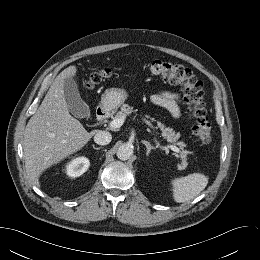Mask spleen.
<instances>
[{"label":"spleen","instance_id":"spleen-1","mask_svg":"<svg viewBox=\"0 0 260 260\" xmlns=\"http://www.w3.org/2000/svg\"><path fill=\"white\" fill-rule=\"evenodd\" d=\"M208 184V178L201 173H193L172 180L173 199L178 203L194 199Z\"/></svg>","mask_w":260,"mask_h":260}]
</instances>
